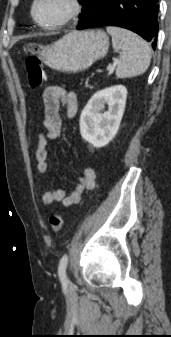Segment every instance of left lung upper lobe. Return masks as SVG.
<instances>
[{"label": "left lung upper lobe", "instance_id": "obj_1", "mask_svg": "<svg viewBox=\"0 0 171 337\" xmlns=\"http://www.w3.org/2000/svg\"><path fill=\"white\" fill-rule=\"evenodd\" d=\"M79 2L83 5V8H82V14H83V12L85 11L86 6H87L89 0H79Z\"/></svg>", "mask_w": 171, "mask_h": 337}]
</instances>
